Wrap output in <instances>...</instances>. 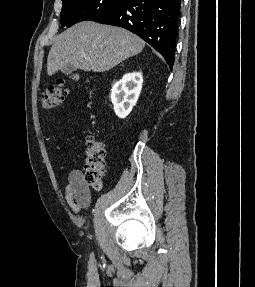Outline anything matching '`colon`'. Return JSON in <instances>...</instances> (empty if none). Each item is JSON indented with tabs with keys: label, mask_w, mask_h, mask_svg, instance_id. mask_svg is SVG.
<instances>
[{
	"label": "colon",
	"mask_w": 255,
	"mask_h": 287,
	"mask_svg": "<svg viewBox=\"0 0 255 287\" xmlns=\"http://www.w3.org/2000/svg\"><path fill=\"white\" fill-rule=\"evenodd\" d=\"M77 79V76H74ZM69 90L62 80L48 87L42 94L41 105L44 110L57 108ZM105 146L93 136H89L85 145L84 180L88 186L100 189L105 172Z\"/></svg>",
	"instance_id": "5ec220e1"
}]
</instances>
